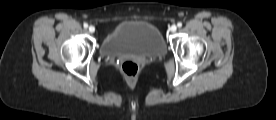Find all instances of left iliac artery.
Instances as JSON below:
<instances>
[{
    "instance_id": "1",
    "label": "left iliac artery",
    "mask_w": 276,
    "mask_h": 120,
    "mask_svg": "<svg viewBox=\"0 0 276 120\" xmlns=\"http://www.w3.org/2000/svg\"><path fill=\"white\" fill-rule=\"evenodd\" d=\"M177 26H178V27H182V23H181V22H178V23H177Z\"/></svg>"
}]
</instances>
